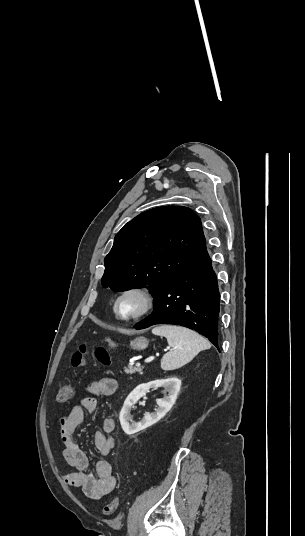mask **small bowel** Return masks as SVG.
<instances>
[{"instance_id":"c3829d8e","label":"small bowel","mask_w":305,"mask_h":536,"mask_svg":"<svg viewBox=\"0 0 305 536\" xmlns=\"http://www.w3.org/2000/svg\"><path fill=\"white\" fill-rule=\"evenodd\" d=\"M117 381L112 377H103L91 382L86 390L89 396L75 404L71 411L60 419V436L63 443L62 456L65 463L73 469L66 475V483L81 488L84 494L100 500L110 494L116 487V478L109 460L101 458L96 462V476L88 471V458L75 440V432L84 420L85 411L94 412L97 407V397L115 393ZM115 422L106 417L101 422V430L93 434V446L102 457L111 454L114 448L112 434Z\"/></svg>"}]
</instances>
